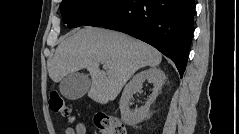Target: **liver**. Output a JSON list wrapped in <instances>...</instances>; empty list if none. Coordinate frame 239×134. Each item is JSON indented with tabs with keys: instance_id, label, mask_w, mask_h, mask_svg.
I'll list each match as a JSON object with an SVG mask.
<instances>
[{
	"instance_id": "obj_1",
	"label": "liver",
	"mask_w": 239,
	"mask_h": 134,
	"mask_svg": "<svg viewBox=\"0 0 239 134\" xmlns=\"http://www.w3.org/2000/svg\"><path fill=\"white\" fill-rule=\"evenodd\" d=\"M161 53L126 34L86 27L64 39L48 64L54 82L87 69L91 76L88 97L100 104L114 100L125 83L140 68L158 66ZM100 63L108 71L100 70Z\"/></svg>"
}]
</instances>
